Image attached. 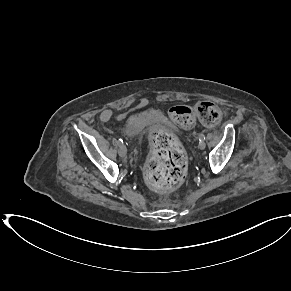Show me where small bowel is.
<instances>
[{
    "label": "small bowel",
    "mask_w": 291,
    "mask_h": 291,
    "mask_svg": "<svg viewBox=\"0 0 291 291\" xmlns=\"http://www.w3.org/2000/svg\"><path fill=\"white\" fill-rule=\"evenodd\" d=\"M113 118H118L117 115H115L112 111L110 110H105L100 114V119L101 121H109Z\"/></svg>",
    "instance_id": "1"
}]
</instances>
